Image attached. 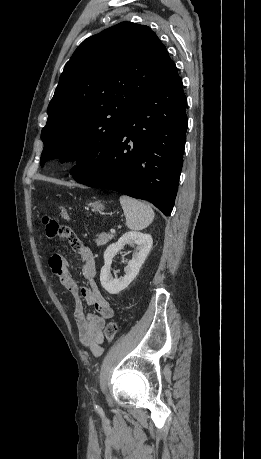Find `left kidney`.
Listing matches in <instances>:
<instances>
[{"mask_svg":"<svg viewBox=\"0 0 261 459\" xmlns=\"http://www.w3.org/2000/svg\"><path fill=\"white\" fill-rule=\"evenodd\" d=\"M126 244L137 245L138 252H135L132 255V259L128 261V265L125 268V275L120 278H113L110 273L112 259ZM152 244L153 239L150 234L127 232L120 237L118 242L109 245L104 252V266L101 268L100 273L102 287L110 294H118L127 288L139 273L142 264L152 248Z\"/></svg>","mask_w":261,"mask_h":459,"instance_id":"5707ae66","label":"left kidney"}]
</instances>
